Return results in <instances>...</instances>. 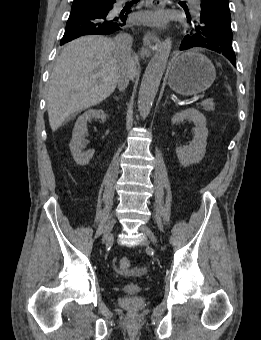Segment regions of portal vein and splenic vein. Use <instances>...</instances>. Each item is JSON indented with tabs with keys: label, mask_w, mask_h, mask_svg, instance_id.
Listing matches in <instances>:
<instances>
[{
	"label": "portal vein and splenic vein",
	"mask_w": 261,
	"mask_h": 340,
	"mask_svg": "<svg viewBox=\"0 0 261 340\" xmlns=\"http://www.w3.org/2000/svg\"><path fill=\"white\" fill-rule=\"evenodd\" d=\"M194 99L198 101V100H202L203 97L202 96H196Z\"/></svg>",
	"instance_id": "1"
}]
</instances>
